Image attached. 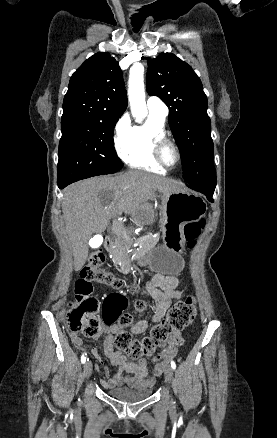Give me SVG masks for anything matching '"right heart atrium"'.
Returning <instances> with one entry per match:
<instances>
[{
	"instance_id": "1",
	"label": "right heart atrium",
	"mask_w": 277,
	"mask_h": 438,
	"mask_svg": "<svg viewBox=\"0 0 277 438\" xmlns=\"http://www.w3.org/2000/svg\"><path fill=\"white\" fill-rule=\"evenodd\" d=\"M129 126L125 120H120L115 127V140L119 146L128 133Z\"/></svg>"
}]
</instances>
